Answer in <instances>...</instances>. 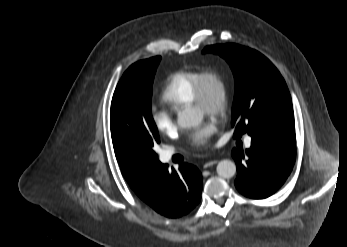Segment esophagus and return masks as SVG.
Masks as SVG:
<instances>
[{
	"label": "esophagus",
	"mask_w": 347,
	"mask_h": 247,
	"mask_svg": "<svg viewBox=\"0 0 347 247\" xmlns=\"http://www.w3.org/2000/svg\"><path fill=\"white\" fill-rule=\"evenodd\" d=\"M217 163H218L217 160H208L207 162H205L203 167L204 168H209V167H211V166H213V165H215Z\"/></svg>",
	"instance_id": "obj_1"
}]
</instances>
